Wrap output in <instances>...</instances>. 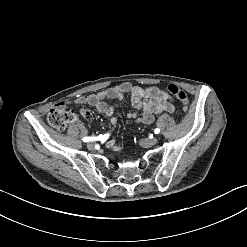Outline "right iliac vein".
Returning a JSON list of instances; mask_svg holds the SVG:
<instances>
[{
  "instance_id": "obj_1",
  "label": "right iliac vein",
  "mask_w": 247,
  "mask_h": 247,
  "mask_svg": "<svg viewBox=\"0 0 247 247\" xmlns=\"http://www.w3.org/2000/svg\"><path fill=\"white\" fill-rule=\"evenodd\" d=\"M87 147H88V149L93 150V149L95 148L94 142H89V143L87 144Z\"/></svg>"
}]
</instances>
